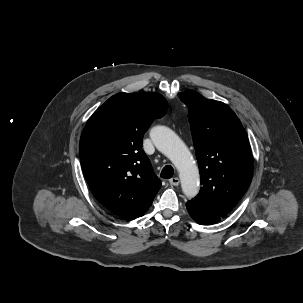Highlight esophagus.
<instances>
[{
	"instance_id": "obj_1",
	"label": "esophagus",
	"mask_w": 303,
	"mask_h": 303,
	"mask_svg": "<svg viewBox=\"0 0 303 303\" xmlns=\"http://www.w3.org/2000/svg\"><path fill=\"white\" fill-rule=\"evenodd\" d=\"M169 183L173 186H178L180 183V180L178 177H173L169 180Z\"/></svg>"
}]
</instances>
